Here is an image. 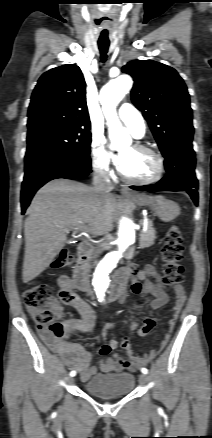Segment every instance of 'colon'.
<instances>
[{
  "mask_svg": "<svg viewBox=\"0 0 212 438\" xmlns=\"http://www.w3.org/2000/svg\"><path fill=\"white\" fill-rule=\"evenodd\" d=\"M183 256L182 235L177 226H171L164 237L161 248L163 280L167 284H180L183 281ZM74 260L73 255L62 250L53 260V269H62L70 265ZM27 311L39 327L47 328L55 337L62 338L65 334L64 326L55 320L54 306L55 299L49 286L44 284H33L23 294ZM76 300L75 294L67 293L64 301L68 304ZM138 326L137 320L131 323V330Z\"/></svg>",
  "mask_w": 212,
  "mask_h": 438,
  "instance_id": "5ec220e1",
  "label": "colon"
}]
</instances>
